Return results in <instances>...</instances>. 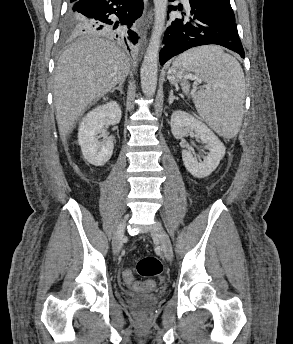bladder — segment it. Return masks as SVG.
Returning a JSON list of instances; mask_svg holds the SVG:
<instances>
[{"mask_svg":"<svg viewBox=\"0 0 293 344\" xmlns=\"http://www.w3.org/2000/svg\"><path fill=\"white\" fill-rule=\"evenodd\" d=\"M129 297H131L132 299H137V300H141V301L148 302V303H151L157 299L156 295L141 296V295H136L133 293H130Z\"/></svg>","mask_w":293,"mask_h":344,"instance_id":"obj_1","label":"bladder"}]
</instances>
